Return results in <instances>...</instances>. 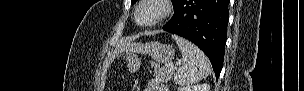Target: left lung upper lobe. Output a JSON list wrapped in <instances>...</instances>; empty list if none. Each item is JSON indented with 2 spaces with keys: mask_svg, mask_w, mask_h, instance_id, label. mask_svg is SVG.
Listing matches in <instances>:
<instances>
[{
  "mask_svg": "<svg viewBox=\"0 0 304 91\" xmlns=\"http://www.w3.org/2000/svg\"><path fill=\"white\" fill-rule=\"evenodd\" d=\"M137 0H131V4H134ZM173 3V6L175 7L176 4L179 2V0H171Z\"/></svg>",
  "mask_w": 304,
  "mask_h": 91,
  "instance_id": "5c2ea615",
  "label": "left lung upper lobe"
}]
</instances>
